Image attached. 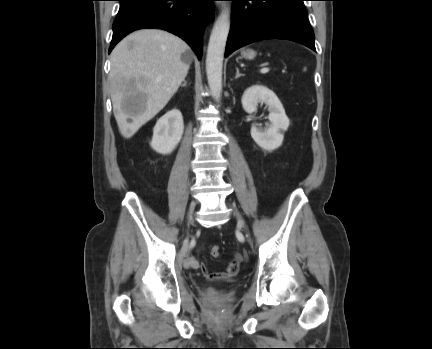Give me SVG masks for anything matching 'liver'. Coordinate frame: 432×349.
I'll use <instances>...</instances> for the list:
<instances>
[{
  "label": "liver",
  "instance_id": "6515ba94",
  "mask_svg": "<svg viewBox=\"0 0 432 349\" xmlns=\"http://www.w3.org/2000/svg\"><path fill=\"white\" fill-rule=\"evenodd\" d=\"M186 52L190 53V49L182 39L159 29L135 31L113 49L111 100L124 138H131L175 94L190 67V62L181 59ZM127 99L138 103L133 112L123 108Z\"/></svg>",
  "mask_w": 432,
  "mask_h": 349
}]
</instances>
